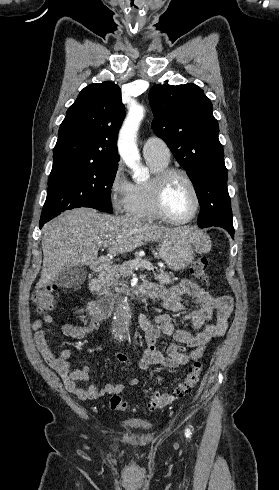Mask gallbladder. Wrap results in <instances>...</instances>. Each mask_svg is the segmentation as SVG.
<instances>
[{
	"label": "gallbladder",
	"mask_w": 279,
	"mask_h": 490,
	"mask_svg": "<svg viewBox=\"0 0 279 490\" xmlns=\"http://www.w3.org/2000/svg\"><path fill=\"white\" fill-rule=\"evenodd\" d=\"M87 276V270L84 266H69L62 270L60 276L55 282L60 288H80L84 284Z\"/></svg>",
	"instance_id": "gallbladder-1"
}]
</instances>
